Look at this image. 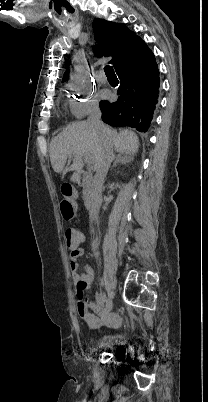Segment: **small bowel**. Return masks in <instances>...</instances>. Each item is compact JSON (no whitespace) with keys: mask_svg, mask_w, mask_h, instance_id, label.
I'll list each match as a JSON object with an SVG mask.
<instances>
[{"mask_svg":"<svg viewBox=\"0 0 208 402\" xmlns=\"http://www.w3.org/2000/svg\"><path fill=\"white\" fill-rule=\"evenodd\" d=\"M87 238L85 236L79 237L80 243H85ZM75 259V258H74ZM73 282L76 287V294L79 299H82L85 295L86 289L89 287L90 283L94 277V271L92 267L86 265L84 267L83 273L79 272V264L76 261L71 262L70 265ZM105 298L102 295L97 297L96 303L92 304V309L96 312V316H90L88 319V324H85V327H88L91 330H119L122 327L121 322L119 321H110V317L104 309L103 301ZM81 321H84V318H81Z\"/></svg>","mask_w":208,"mask_h":402,"instance_id":"obj_1","label":"small bowel"}]
</instances>
